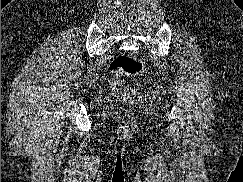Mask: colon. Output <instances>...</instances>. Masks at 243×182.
Wrapping results in <instances>:
<instances>
[{
	"label": "colon",
	"instance_id": "colon-1",
	"mask_svg": "<svg viewBox=\"0 0 243 182\" xmlns=\"http://www.w3.org/2000/svg\"><path fill=\"white\" fill-rule=\"evenodd\" d=\"M109 68L113 75L114 89L128 98L136 96V90L123 79V76L142 73L145 70L144 62L127 54H120L111 61Z\"/></svg>",
	"mask_w": 243,
	"mask_h": 182
}]
</instances>
